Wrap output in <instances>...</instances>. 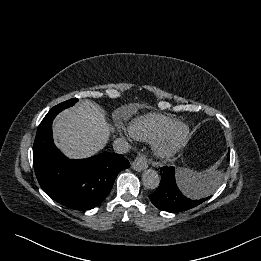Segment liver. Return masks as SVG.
<instances>
[{"instance_id": "obj_1", "label": "liver", "mask_w": 261, "mask_h": 261, "mask_svg": "<svg viewBox=\"0 0 261 261\" xmlns=\"http://www.w3.org/2000/svg\"><path fill=\"white\" fill-rule=\"evenodd\" d=\"M112 131L103 109L90 100L62 111L53 126L56 146L72 159L95 155L105 147Z\"/></svg>"}]
</instances>
